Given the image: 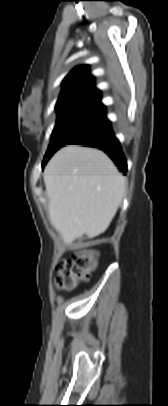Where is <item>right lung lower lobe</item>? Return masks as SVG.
I'll use <instances>...</instances> for the list:
<instances>
[{
    "label": "right lung lower lobe",
    "instance_id": "right-lung-lower-lobe-1",
    "mask_svg": "<svg viewBox=\"0 0 168 406\" xmlns=\"http://www.w3.org/2000/svg\"><path fill=\"white\" fill-rule=\"evenodd\" d=\"M72 144L99 148L100 150L104 151L117 164V166L120 167L124 174H126V159L123 155L120 143L114 136L110 125Z\"/></svg>",
    "mask_w": 168,
    "mask_h": 406
}]
</instances>
